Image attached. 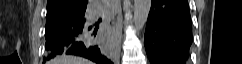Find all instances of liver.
<instances>
[{"label": "liver", "instance_id": "1", "mask_svg": "<svg viewBox=\"0 0 242 64\" xmlns=\"http://www.w3.org/2000/svg\"><path fill=\"white\" fill-rule=\"evenodd\" d=\"M52 64H92L91 61L75 56H62L52 61Z\"/></svg>", "mask_w": 242, "mask_h": 64}]
</instances>
